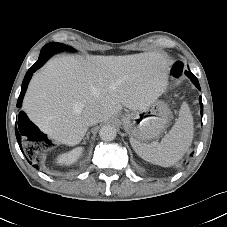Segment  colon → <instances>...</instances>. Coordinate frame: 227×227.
<instances>
[{
  "label": "colon",
  "mask_w": 227,
  "mask_h": 227,
  "mask_svg": "<svg viewBox=\"0 0 227 227\" xmlns=\"http://www.w3.org/2000/svg\"><path fill=\"white\" fill-rule=\"evenodd\" d=\"M183 66L181 62H175L170 68V74L172 78H179L182 74ZM32 143H39L42 148L47 149L50 147L51 142L46 135L40 134L37 137L32 139ZM28 155L33 157L35 156L34 146L32 144L27 147Z\"/></svg>",
  "instance_id": "obj_1"
}]
</instances>
